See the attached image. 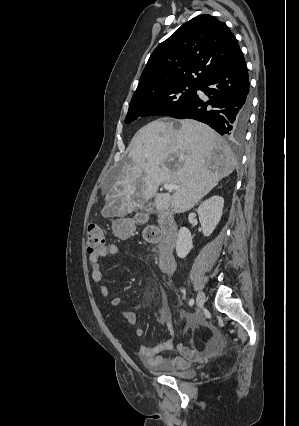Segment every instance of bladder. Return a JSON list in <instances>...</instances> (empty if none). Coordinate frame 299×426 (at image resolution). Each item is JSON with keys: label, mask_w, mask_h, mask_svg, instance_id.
<instances>
[{"label": "bladder", "mask_w": 299, "mask_h": 426, "mask_svg": "<svg viewBox=\"0 0 299 426\" xmlns=\"http://www.w3.org/2000/svg\"><path fill=\"white\" fill-rule=\"evenodd\" d=\"M167 375L181 378V379H191L195 376V371L192 369H168L164 371Z\"/></svg>", "instance_id": "bladder-1"}]
</instances>
